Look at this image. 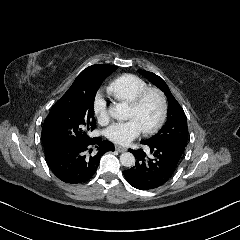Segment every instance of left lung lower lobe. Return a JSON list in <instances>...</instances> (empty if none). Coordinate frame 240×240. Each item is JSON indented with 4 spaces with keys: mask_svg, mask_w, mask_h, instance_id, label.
I'll list each match as a JSON object with an SVG mask.
<instances>
[{
    "mask_svg": "<svg viewBox=\"0 0 240 240\" xmlns=\"http://www.w3.org/2000/svg\"><path fill=\"white\" fill-rule=\"evenodd\" d=\"M147 146L152 154L150 158L143 149L128 150L134 154L136 163L131 169L123 171L128 183L140 190L155 189L165 184L172 177L183 153L171 146Z\"/></svg>",
    "mask_w": 240,
    "mask_h": 240,
    "instance_id": "1",
    "label": "left lung lower lobe"
}]
</instances>
